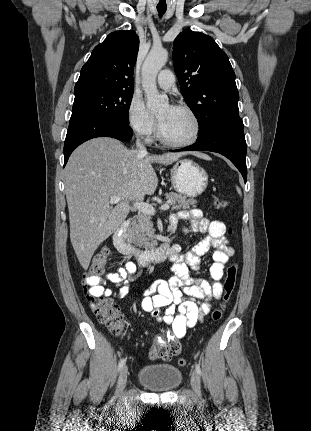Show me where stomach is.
I'll return each mask as SVG.
<instances>
[{
    "instance_id": "1",
    "label": "stomach",
    "mask_w": 311,
    "mask_h": 431,
    "mask_svg": "<svg viewBox=\"0 0 311 431\" xmlns=\"http://www.w3.org/2000/svg\"><path fill=\"white\" fill-rule=\"evenodd\" d=\"M172 188L187 198L201 196L208 186V174L193 160H178L170 170Z\"/></svg>"
}]
</instances>
